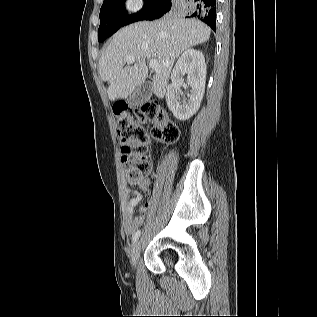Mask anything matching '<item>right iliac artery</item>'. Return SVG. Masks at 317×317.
<instances>
[{"instance_id": "1", "label": "right iliac artery", "mask_w": 317, "mask_h": 317, "mask_svg": "<svg viewBox=\"0 0 317 317\" xmlns=\"http://www.w3.org/2000/svg\"><path fill=\"white\" fill-rule=\"evenodd\" d=\"M140 233H141L140 230H138L137 232H135V234L133 235V238H132V242H133V243H135V242L138 240V238H139V236H140Z\"/></svg>"}]
</instances>
